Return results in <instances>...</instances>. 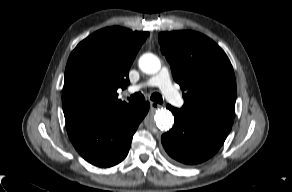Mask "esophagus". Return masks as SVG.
<instances>
[{"mask_svg":"<svg viewBox=\"0 0 292 192\" xmlns=\"http://www.w3.org/2000/svg\"><path fill=\"white\" fill-rule=\"evenodd\" d=\"M160 107V104H158V103H156V102H150V108L152 109V110H156V109H158Z\"/></svg>","mask_w":292,"mask_h":192,"instance_id":"34e87169","label":"esophagus"}]
</instances>
